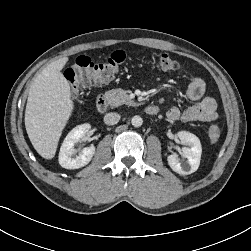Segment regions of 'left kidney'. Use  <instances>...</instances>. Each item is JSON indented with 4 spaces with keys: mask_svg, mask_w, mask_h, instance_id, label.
I'll list each match as a JSON object with an SVG mask.
<instances>
[{
    "mask_svg": "<svg viewBox=\"0 0 251 251\" xmlns=\"http://www.w3.org/2000/svg\"><path fill=\"white\" fill-rule=\"evenodd\" d=\"M177 136L181 143L187 146L181 152V156L186 161H180L177 154L169 155L167 161L174 172L180 175H189L199 167L202 153L201 143L197 136L187 131H180Z\"/></svg>",
    "mask_w": 251,
    "mask_h": 251,
    "instance_id": "obj_1",
    "label": "left kidney"
}]
</instances>
